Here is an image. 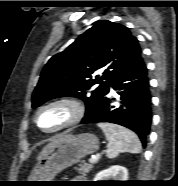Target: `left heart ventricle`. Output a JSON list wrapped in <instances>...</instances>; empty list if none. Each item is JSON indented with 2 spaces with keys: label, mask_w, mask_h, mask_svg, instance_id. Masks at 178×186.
I'll return each instance as SVG.
<instances>
[{
  "label": "left heart ventricle",
  "mask_w": 178,
  "mask_h": 186,
  "mask_svg": "<svg viewBox=\"0 0 178 186\" xmlns=\"http://www.w3.org/2000/svg\"><path fill=\"white\" fill-rule=\"evenodd\" d=\"M70 116V110L64 105H56L42 110L38 115V123L45 130L54 129Z\"/></svg>",
  "instance_id": "obj_1"
}]
</instances>
